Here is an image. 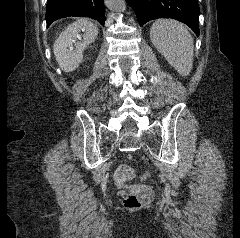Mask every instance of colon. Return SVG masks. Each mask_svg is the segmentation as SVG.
I'll list each match as a JSON object with an SVG mask.
<instances>
[{
  "mask_svg": "<svg viewBox=\"0 0 240 238\" xmlns=\"http://www.w3.org/2000/svg\"><path fill=\"white\" fill-rule=\"evenodd\" d=\"M134 178V170L128 165H121L115 171L117 185L125 189L124 205L127 208H138L149 204L154 197L150 186L143 183L127 185Z\"/></svg>",
  "mask_w": 240,
  "mask_h": 238,
  "instance_id": "5ec220e1",
  "label": "colon"
}]
</instances>
